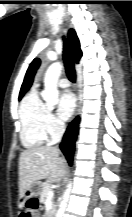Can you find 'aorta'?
Wrapping results in <instances>:
<instances>
[{
  "instance_id": "762f6f07",
  "label": "aorta",
  "mask_w": 132,
  "mask_h": 217,
  "mask_svg": "<svg viewBox=\"0 0 132 217\" xmlns=\"http://www.w3.org/2000/svg\"><path fill=\"white\" fill-rule=\"evenodd\" d=\"M62 64L60 62L52 63L47 69L44 77L45 89L42 92V97L48 107H53L58 103V80L62 72ZM68 198H64L60 204V208L56 217H63L67 206Z\"/></svg>"
}]
</instances>
